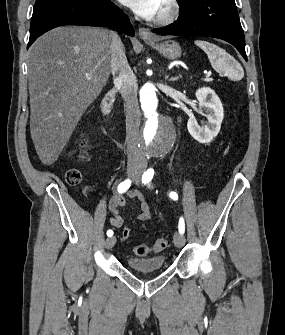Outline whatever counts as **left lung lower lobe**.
Listing matches in <instances>:
<instances>
[{
	"instance_id": "0a47b994",
	"label": "left lung lower lobe",
	"mask_w": 285,
	"mask_h": 335,
	"mask_svg": "<svg viewBox=\"0 0 285 335\" xmlns=\"http://www.w3.org/2000/svg\"><path fill=\"white\" fill-rule=\"evenodd\" d=\"M180 16L167 27L156 28L159 35H199L231 43L247 61L245 38L235 0H188L179 3Z\"/></svg>"
}]
</instances>
